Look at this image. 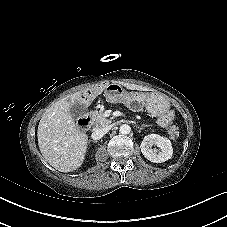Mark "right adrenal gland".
<instances>
[{
	"label": "right adrenal gland",
	"instance_id": "obj_1",
	"mask_svg": "<svg viewBox=\"0 0 227 227\" xmlns=\"http://www.w3.org/2000/svg\"><path fill=\"white\" fill-rule=\"evenodd\" d=\"M92 142H95V143H97V141H93V140H92Z\"/></svg>",
	"mask_w": 227,
	"mask_h": 227
}]
</instances>
